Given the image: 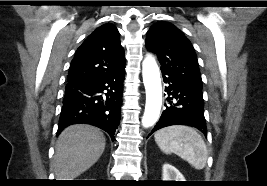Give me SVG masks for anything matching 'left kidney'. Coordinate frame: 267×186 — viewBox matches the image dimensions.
Returning <instances> with one entry per match:
<instances>
[{"label":"left kidney","mask_w":267,"mask_h":186,"mask_svg":"<svg viewBox=\"0 0 267 186\" xmlns=\"http://www.w3.org/2000/svg\"><path fill=\"white\" fill-rule=\"evenodd\" d=\"M163 181H185L183 175L172 165H163Z\"/></svg>","instance_id":"5707ae66"}]
</instances>
